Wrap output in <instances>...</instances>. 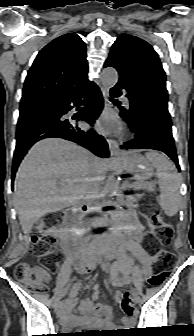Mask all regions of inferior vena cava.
Returning <instances> with one entry per match:
<instances>
[{
    "instance_id": "602c4592",
    "label": "inferior vena cava",
    "mask_w": 194,
    "mask_h": 336,
    "mask_svg": "<svg viewBox=\"0 0 194 336\" xmlns=\"http://www.w3.org/2000/svg\"><path fill=\"white\" fill-rule=\"evenodd\" d=\"M91 162L92 163H89L88 168L91 172H93L94 177L90 179L89 184L87 185L85 200L88 205H96L97 200L100 197L99 183L104 177L96 171L99 168L98 163H95L96 161L94 159Z\"/></svg>"
}]
</instances>
